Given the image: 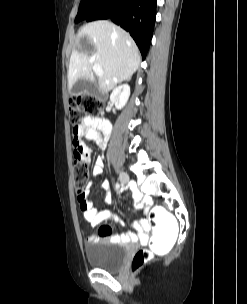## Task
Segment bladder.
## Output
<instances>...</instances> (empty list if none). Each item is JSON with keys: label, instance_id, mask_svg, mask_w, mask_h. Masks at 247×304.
<instances>
[{"label": "bladder", "instance_id": "31cf9c89", "mask_svg": "<svg viewBox=\"0 0 247 304\" xmlns=\"http://www.w3.org/2000/svg\"><path fill=\"white\" fill-rule=\"evenodd\" d=\"M88 263L97 269L117 271L127 255V246L109 239H100L85 247Z\"/></svg>", "mask_w": 247, "mask_h": 304}]
</instances>
